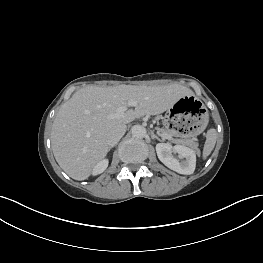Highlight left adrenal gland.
I'll list each match as a JSON object with an SVG mask.
<instances>
[{
    "label": "left adrenal gland",
    "instance_id": "1",
    "mask_svg": "<svg viewBox=\"0 0 263 263\" xmlns=\"http://www.w3.org/2000/svg\"><path fill=\"white\" fill-rule=\"evenodd\" d=\"M151 138H152V139H157L158 141H162L158 136H156V135L154 134L153 131H151Z\"/></svg>",
    "mask_w": 263,
    "mask_h": 263
}]
</instances>
